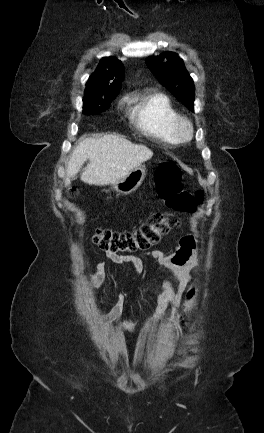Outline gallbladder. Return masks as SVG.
<instances>
[{"instance_id":"1","label":"gallbladder","mask_w":264,"mask_h":433,"mask_svg":"<svg viewBox=\"0 0 264 433\" xmlns=\"http://www.w3.org/2000/svg\"><path fill=\"white\" fill-rule=\"evenodd\" d=\"M69 184H70L69 181H66V182H65V186H68Z\"/></svg>"}]
</instances>
